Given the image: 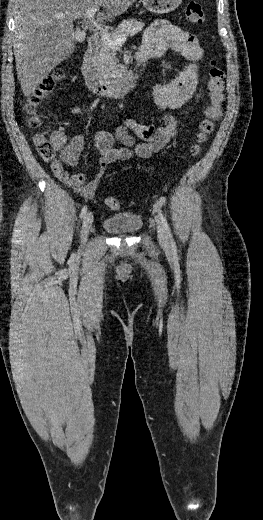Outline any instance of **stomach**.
<instances>
[{
    "label": "stomach",
    "mask_w": 263,
    "mask_h": 520,
    "mask_svg": "<svg viewBox=\"0 0 263 520\" xmlns=\"http://www.w3.org/2000/svg\"><path fill=\"white\" fill-rule=\"evenodd\" d=\"M143 6L151 13L164 14L175 10L182 0H141Z\"/></svg>",
    "instance_id": "1"
}]
</instances>
